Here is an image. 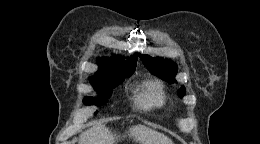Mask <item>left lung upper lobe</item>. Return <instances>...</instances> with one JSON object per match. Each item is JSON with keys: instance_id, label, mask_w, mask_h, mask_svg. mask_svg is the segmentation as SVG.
I'll return each mask as SVG.
<instances>
[{"instance_id": "obj_1", "label": "left lung upper lobe", "mask_w": 260, "mask_h": 144, "mask_svg": "<svg viewBox=\"0 0 260 144\" xmlns=\"http://www.w3.org/2000/svg\"><path fill=\"white\" fill-rule=\"evenodd\" d=\"M144 65L150 70V72L164 80H167L169 83L176 82L175 76L177 74V64L163 58H152L149 55L139 54ZM186 89L182 86L178 90V95L183 97L185 95Z\"/></svg>"}]
</instances>
